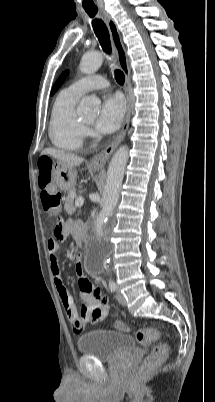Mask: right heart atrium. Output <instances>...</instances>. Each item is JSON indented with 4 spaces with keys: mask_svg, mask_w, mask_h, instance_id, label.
Segmentation results:
<instances>
[{
    "mask_svg": "<svg viewBox=\"0 0 215 402\" xmlns=\"http://www.w3.org/2000/svg\"><path fill=\"white\" fill-rule=\"evenodd\" d=\"M84 132L86 136H93V132L89 128H85Z\"/></svg>",
    "mask_w": 215,
    "mask_h": 402,
    "instance_id": "obj_1",
    "label": "right heart atrium"
}]
</instances>
